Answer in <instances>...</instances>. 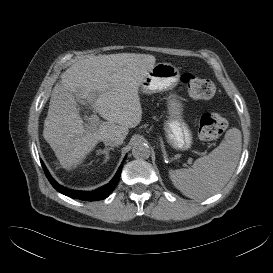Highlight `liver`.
<instances>
[{
	"label": "liver",
	"mask_w": 273,
	"mask_h": 273,
	"mask_svg": "<svg viewBox=\"0 0 273 273\" xmlns=\"http://www.w3.org/2000/svg\"><path fill=\"white\" fill-rule=\"evenodd\" d=\"M149 54L118 53L88 56L71 65L53 88L43 137L66 169L79 165L107 137L121 142L142 118L138 95L155 65ZM77 102L106 121L95 131L84 127Z\"/></svg>",
	"instance_id": "6515ba94"
}]
</instances>
